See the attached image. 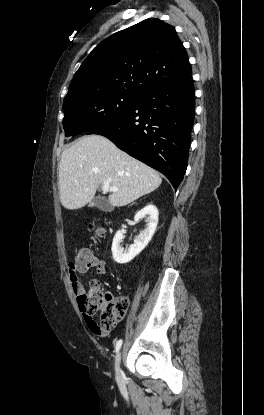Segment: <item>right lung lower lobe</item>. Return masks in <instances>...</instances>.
<instances>
[{
    "mask_svg": "<svg viewBox=\"0 0 264 415\" xmlns=\"http://www.w3.org/2000/svg\"><path fill=\"white\" fill-rule=\"evenodd\" d=\"M194 112L190 74L146 91L128 112L87 134L107 137L121 150L163 173L177 188L188 164Z\"/></svg>",
    "mask_w": 264,
    "mask_h": 415,
    "instance_id": "1",
    "label": "right lung lower lobe"
}]
</instances>
